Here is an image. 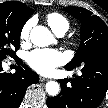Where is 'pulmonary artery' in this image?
<instances>
[{
    "label": "pulmonary artery",
    "instance_id": "e3ab8cb5",
    "mask_svg": "<svg viewBox=\"0 0 108 108\" xmlns=\"http://www.w3.org/2000/svg\"><path fill=\"white\" fill-rule=\"evenodd\" d=\"M65 34V32H59L57 33V36L62 37Z\"/></svg>",
    "mask_w": 108,
    "mask_h": 108
}]
</instances>
